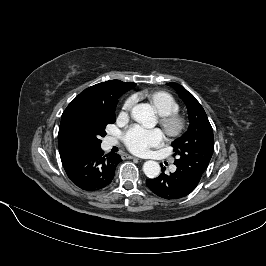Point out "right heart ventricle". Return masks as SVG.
Masks as SVG:
<instances>
[{
  "mask_svg": "<svg viewBox=\"0 0 266 266\" xmlns=\"http://www.w3.org/2000/svg\"><path fill=\"white\" fill-rule=\"evenodd\" d=\"M150 102L160 116H167L179 111V104L167 92L159 91L149 95Z\"/></svg>",
  "mask_w": 266,
  "mask_h": 266,
  "instance_id": "e07e8e85",
  "label": "right heart ventricle"
}]
</instances>
